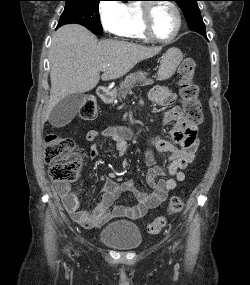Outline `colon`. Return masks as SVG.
I'll return each instance as SVG.
<instances>
[{
    "label": "colon",
    "mask_w": 250,
    "mask_h": 285,
    "mask_svg": "<svg viewBox=\"0 0 250 285\" xmlns=\"http://www.w3.org/2000/svg\"><path fill=\"white\" fill-rule=\"evenodd\" d=\"M196 63L187 58L182 61L178 69L180 95L182 98V115L188 128L195 131L202 119L201 105L198 100L199 89L193 82ZM80 117L92 120L97 116V105L92 97H86L79 111ZM45 161L49 167V174L53 181L71 183L76 180L82 167V156L76 151L74 141L68 137L50 134L45 139ZM184 201L180 196L170 199L167 212L178 214L183 210ZM165 216L155 218L148 225L150 234H158L165 227Z\"/></svg>",
    "instance_id": "1"
}]
</instances>
